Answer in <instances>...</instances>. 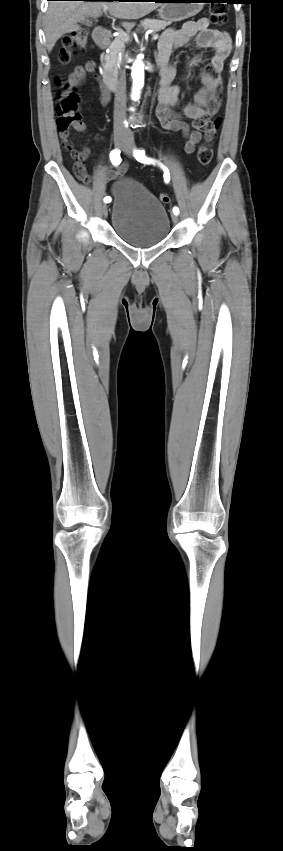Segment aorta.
<instances>
[{
    "label": "aorta",
    "mask_w": 283,
    "mask_h": 851,
    "mask_svg": "<svg viewBox=\"0 0 283 851\" xmlns=\"http://www.w3.org/2000/svg\"><path fill=\"white\" fill-rule=\"evenodd\" d=\"M131 77L133 81L131 97L136 100L144 86V64L139 58L133 63Z\"/></svg>",
    "instance_id": "1"
}]
</instances>
